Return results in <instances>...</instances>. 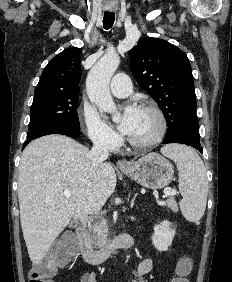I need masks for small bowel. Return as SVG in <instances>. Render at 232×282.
<instances>
[{
	"instance_id": "obj_1",
	"label": "small bowel",
	"mask_w": 232,
	"mask_h": 282,
	"mask_svg": "<svg viewBox=\"0 0 232 282\" xmlns=\"http://www.w3.org/2000/svg\"><path fill=\"white\" fill-rule=\"evenodd\" d=\"M153 268V261L150 258L142 260L136 271V280H127L126 282H148L145 279L147 275ZM78 282H97V276L94 272H85L81 275Z\"/></svg>"
}]
</instances>
